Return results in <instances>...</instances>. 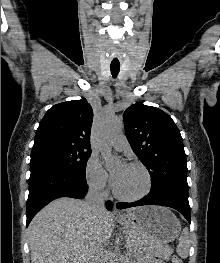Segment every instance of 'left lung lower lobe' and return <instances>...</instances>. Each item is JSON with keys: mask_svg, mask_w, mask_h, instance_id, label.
I'll list each match as a JSON object with an SVG mask.
<instances>
[{"mask_svg": "<svg viewBox=\"0 0 220 263\" xmlns=\"http://www.w3.org/2000/svg\"><path fill=\"white\" fill-rule=\"evenodd\" d=\"M142 205H160L171 207L179 211L189 223L191 221L188 194H183L172 189L150 191V193L146 197L136 202H119L116 206L118 209H125Z\"/></svg>", "mask_w": 220, "mask_h": 263, "instance_id": "left-lung-lower-lobe-1", "label": "left lung lower lobe"}]
</instances>
